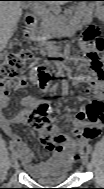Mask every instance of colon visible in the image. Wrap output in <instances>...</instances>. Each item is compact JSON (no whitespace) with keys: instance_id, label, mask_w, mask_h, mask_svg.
<instances>
[{"instance_id":"colon-1","label":"colon","mask_w":104,"mask_h":189,"mask_svg":"<svg viewBox=\"0 0 104 189\" xmlns=\"http://www.w3.org/2000/svg\"><path fill=\"white\" fill-rule=\"evenodd\" d=\"M81 41L89 49L86 58L90 61L92 70L96 74L101 75L102 63L99 53L104 50L103 37L94 26H90L84 31ZM31 58L32 52L29 48L19 41L13 43L12 49L5 54L0 67V98L8 95L9 91L18 85L17 76L28 66ZM37 76L41 84H47L50 79V73L44 67L37 69ZM88 109L90 117L93 119L100 118L103 115V104L100 101L92 102L88 105ZM44 111V107L38 110L40 114ZM33 127L43 141H53L50 126L45 125L41 120H33ZM81 134H85V132H81Z\"/></svg>"}]
</instances>
